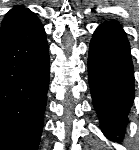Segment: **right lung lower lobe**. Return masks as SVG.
<instances>
[{
  "instance_id": "right-lung-lower-lobe-1",
  "label": "right lung lower lobe",
  "mask_w": 139,
  "mask_h": 150,
  "mask_svg": "<svg viewBox=\"0 0 139 150\" xmlns=\"http://www.w3.org/2000/svg\"><path fill=\"white\" fill-rule=\"evenodd\" d=\"M42 23L25 10L0 30V150H37L49 86Z\"/></svg>"
}]
</instances>
